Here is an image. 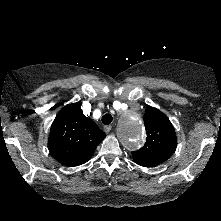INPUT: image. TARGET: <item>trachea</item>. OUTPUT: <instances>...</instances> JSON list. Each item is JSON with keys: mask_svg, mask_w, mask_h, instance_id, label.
Returning a JSON list of instances; mask_svg holds the SVG:
<instances>
[{"mask_svg": "<svg viewBox=\"0 0 221 221\" xmlns=\"http://www.w3.org/2000/svg\"><path fill=\"white\" fill-rule=\"evenodd\" d=\"M113 118L110 114H105L103 117H102V122L103 124L105 125H109L111 122H112Z\"/></svg>", "mask_w": 221, "mask_h": 221, "instance_id": "trachea-1", "label": "trachea"}]
</instances>
